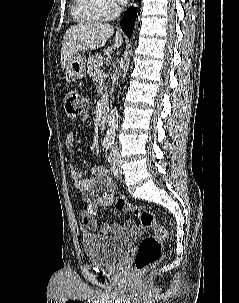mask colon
<instances>
[{
    "mask_svg": "<svg viewBox=\"0 0 239 303\" xmlns=\"http://www.w3.org/2000/svg\"><path fill=\"white\" fill-rule=\"evenodd\" d=\"M65 110L69 120L75 121L87 113V101L80 93L69 91L65 95ZM104 206H113L120 211H128L141 220L145 229L151 228L154 234L145 237L139 245L135 255V268L142 271L156 264L162 256V242L167 238V229L162 225L155 214L141 206H133L122 196H113L105 193L101 196ZM90 215H95L94 208L89 209Z\"/></svg>",
    "mask_w": 239,
    "mask_h": 303,
    "instance_id": "colon-1",
    "label": "colon"
}]
</instances>
